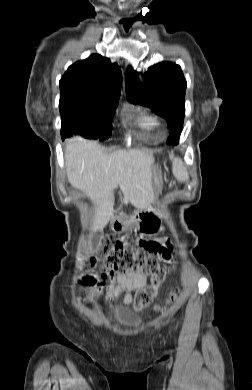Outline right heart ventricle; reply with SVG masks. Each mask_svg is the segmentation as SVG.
Returning a JSON list of instances; mask_svg holds the SVG:
<instances>
[{
    "label": "right heart ventricle",
    "instance_id": "1",
    "mask_svg": "<svg viewBox=\"0 0 252 390\" xmlns=\"http://www.w3.org/2000/svg\"><path fill=\"white\" fill-rule=\"evenodd\" d=\"M158 124L157 120L152 115H146L141 121V126L143 128H153Z\"/></svg>",
    "mask_w": 252,
    "mask_h": 390
}]
</instances>
